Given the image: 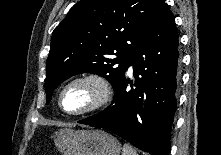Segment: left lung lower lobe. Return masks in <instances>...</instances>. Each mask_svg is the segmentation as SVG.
Returning <instances> with one entry per match:
<instances>
[{
  "mask_svg": "<svg viewBox=\"0 0 221 155\" xmlns=\"http://www.w3.org/2000/svg\"><path fill=\"white\" fill-rule=\"evenodd\" d=\"M178 35L175 20L164 3L139 39L128 64L133 81L125 75L114 89V99L100 113L79 123L108 129L151 155H169L170 132L179 82Z\"/></svg>",
  "mask_w": 221,
  "mask_h": 155,
  "instance_id": "1",
  "label": "left lung lower lobe"
}]
</instances>
